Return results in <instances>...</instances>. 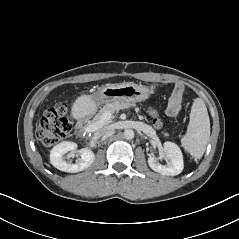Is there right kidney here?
Segmentation results:
<instances>
[{
	"label": "right kidney",
	"instance_id": "ca27d5eb",
	"mask_svg": "<svg viewBox=\"0 0 239 239\" xmlns=\"http://www.w3.org/2000/svg\"><path fill=\"white\" fill-rule=\"evenodd\" d=\"M76 149L77 144L74 142H62L56 145L50 153L51 164L55 168L69 173H77L85 170L94 162V153L87 148L80 150ZM69 151L74 152L80 156V158L74 164L65 161L63 158V155Z\"/></svg>",
	"mask_w": 239,
	"mask_h": 239
}]
</instances>
